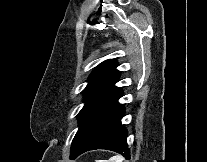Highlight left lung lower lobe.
I'll list each match as a JSON object with an SVG mask.
<instances>
[{
	"label": "left lung lower lobe",
	"mask_w": 207,
	"mask_h": 162,
	"mask_svg": "<svg viewBox=\"0 0 207 162\" xmlns=\"http://www.w3.org/2000/svg\"><path fill=\"white\" fill-rule=\"evenodd\" d=\"M122 90L105 101L88 119L71 146L70 158L94 149H107L130 159L127 131L121 124L124 108L118 103Z\"/></svg>",
	"instance_id": "0a47b994"
}]
</instances>
